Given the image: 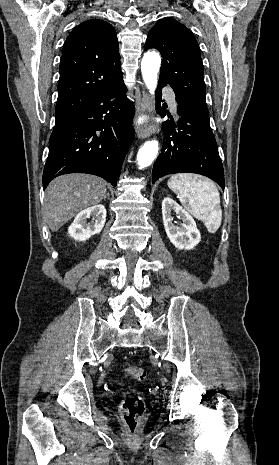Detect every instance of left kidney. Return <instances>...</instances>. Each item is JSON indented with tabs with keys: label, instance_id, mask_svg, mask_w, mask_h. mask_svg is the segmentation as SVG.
Wrapping results in <instances>:
<instances>
[{
	"label": "left kidney",
	"instance_id": "left-kidney-1",
	"mask_svg": "<svg viewBox=\"0 0 279 465\" xmlns=\"http://www.w3.org/2000/svg\"><path fill=\"white\" fill-rule=\"evenodd\" d=\"M172 211L182 220L180 227L174 225ZM162 216L166 234L176 248L191 250L200 242L201 235L194 219L170 197H165L162 201Z\"/></svg>",
	"mask_w": 279,
	"mask_h": 465
}]
</instances>
